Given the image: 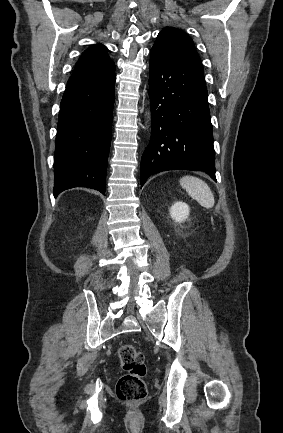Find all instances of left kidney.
<instances>
[{
  "label": "left kidney",
  "mask_w": 283,
  "mask_h": 433,
  "mask_svg": "<svg viewBox=\"0 0 283 433\" xmlns=\"http://www.w3.org/2000/svg\"><path fill=\"white\" fill-rule=\"evenodd\" d=\"M189 213V206L182 201L175 202L170 208V215L177 223L184 222L188 218Z\"/></svg>",
  "instance_id": "5707ae66"
}]
</instances>
